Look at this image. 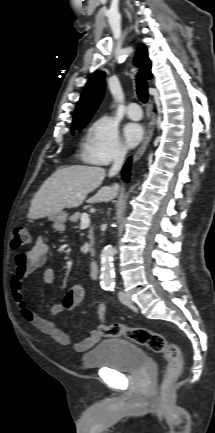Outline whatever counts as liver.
I'll return each instance as SVG.
<instances>
[{
    "instance_id": "6515ba94",
    "label": "liver",
    "mask_w": 215,
    "mask_h": 433,
    "mask_svg": "<svg viewBox=\"0 0 215 433\" xmlns=\"http://www.w3.org/2000/svg\"><path fill=\"white\" fill-rule=\"evenodd\" d=\"M105 176V169L96 166L72 165L56 170L34 195L28 218L51 217L64 208L80 206L87 194L101 185ZM118 192V184L103 186L87 203L109 202Z\"/></svg>"
}]
</instances>
